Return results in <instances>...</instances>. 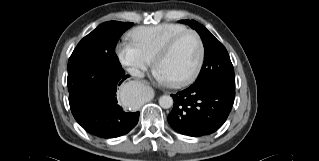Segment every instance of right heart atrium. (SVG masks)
Here are the masks:
<instances>
[{
  "label": "right heart atrium",
  "instance_id": "right-heart-atrium-1",
  "mask_svg": "<svg viewBox=\"0 0 319 161\" xmlns=\"http://www.w3.org/2000/svg\"><path fill=\"white\" fill-rule=\"evenodd\" d=\"M121 63L133 72L145 70L151 64L133 43H123L117 48Z\"/></svg>",
  "mask_w": 319,
  "mask_h": 161
}]
</instances>
